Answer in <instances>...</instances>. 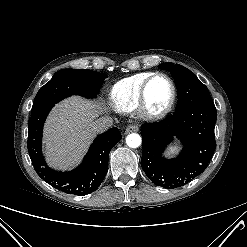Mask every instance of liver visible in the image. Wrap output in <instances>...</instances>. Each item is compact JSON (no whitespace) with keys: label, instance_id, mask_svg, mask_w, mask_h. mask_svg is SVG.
Wrapping results in <instances>:
<instances>
[{"label":"liver","instance_id":"liver-1","mask_svg":"<svg viewBox=\"0 0 247 247\" xmlns=\"http://www.w3.org/2000/svg\"><path fill=\"white\" fill-rule=\"evenodd\" d=\"M105 110L102 102L72 96L58 103L44 127V150L50 166L67 169L80 162L95 132L90 125Z\"/></svg>","mask_w":247,"mask_h":247}]
</instances>
